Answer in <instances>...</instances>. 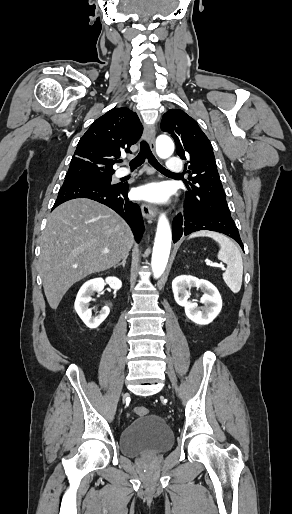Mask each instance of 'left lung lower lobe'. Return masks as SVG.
Listing matches in <instances>:
<instances>
[{"label": "left lung lower lobe", "mask_w": 292, "mask_h": 514, "mask_svg": "<svg viewBox=\"0 0 292 514\" xmlns=\"http://www.w3.org/2000/svg\"><path fill=\"white\" fill-rule=\"evenodd\" d=\"M199 230L223 233L239 243L244 250L238 229L231 217L230 210L203 204L199 199L186 196L183 213H179L172 223L173 242L182 235Z\"/></svg>", "instance_id": "obj_1"}]
</instances>
